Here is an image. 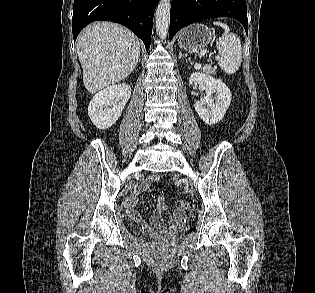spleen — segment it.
Instances as JSON below:
<instances>
[{
  "label": "spleen",
  "instance_id": "1",
  "mask_svg": "<svg viewBox=\"0 0 315 293\" xmlns=\"http://www.w3.org/2000/svg\"><path fill=\"white\" fill-rule=\"evenodd\" d=\"M214 25L224 29L223 35L217 40V50L221 57L218 61L220 68L227 74H233L242 62V47L240 39L235 33H230L229 27L221 22H213Z\"/></svg>",
  "mask_w": 315,
  "mask_h": 293
}]
</instances>
